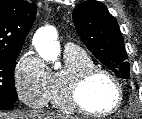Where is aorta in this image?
Wrapping results in <instances>:
<instances>
[{"mask_svg": "<svg viewBox=\"0 0 142 119\" xmlns=\"http://www.w3.org/2000/svg\"><path fill=\"white\" fill-rule=\"evenodd\" d=\"M57 30L53 26H44L37 30L33 38V44L38 54L46 61L55 62V67L60 54V45L57 41Z\"/></svg>", "mask_w": 142, "mask_h": 119, "instance_id": "762f6f07", "label": "aorta"}]
</instances>
